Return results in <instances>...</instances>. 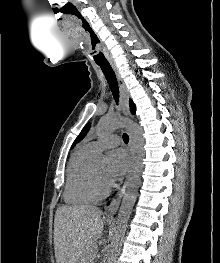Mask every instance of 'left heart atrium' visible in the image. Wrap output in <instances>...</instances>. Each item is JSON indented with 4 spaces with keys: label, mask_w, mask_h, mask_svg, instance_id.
Instances as JSON below:
<instances>
[{
    "label": "left heart atrium",
    "mask_w": 220,
    "mask_h": 263,
    "mask_svg": "<svg viewBox=\"0 0 220 263\" xmlns=\"http://www.w3.org/2000/svg\"><path fill=\"white\" fill-rule=\"evenodd\" d=\"M128 166V158L124 151L113 150L109 154L108 166L105 172V177L109 185L120 180L126 172Z\"/></svg>",
    "instance_id": "39dd6f15"
}]
</instances>
